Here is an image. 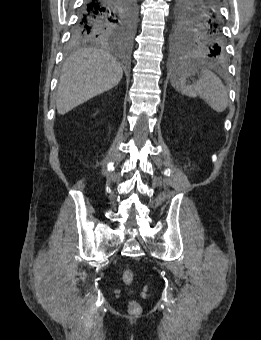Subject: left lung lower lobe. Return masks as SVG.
Segmentation results:
<instances>
[{
    "instance_id": "left-lung-lower-lobe-1",
    "label": "left lung lower lobe",
    "mask_w": 261,
    "mask_h": 340,
    "mask_svg": "<svg viewBox=\"0 0 261 340\" xmlns=\"http://www.w3.org/2000/svg\"><path fill=\"white\" fill-rule=\"evenodd\" d=\"M219 2V0H201L206 14H212L217 10V7L220 8Z\"/></svg>"
}]
</instances>
